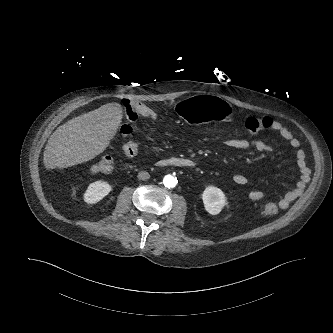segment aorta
I'll use <instances>...</instances> for the list:
<instances>
[{"label":"aorta","instance_id":"aorta-1","mask_svg":"<svg viewBox=\"0 0 333 333\" xmlns=\"http://www.w3.org/2000/svg\"><path fill=\"white\" fill-rule=\"evenodd\" d=\"M163 183H164L165 187L173 188V187L176 186L177 180L172 175H167V176L164 177Z\"/></svg>","mask_w":333,"mask_h":333}]
</instances>
